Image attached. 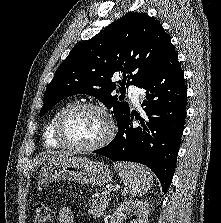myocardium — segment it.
I'll list each match as a JSON object with an SVG mask.
<instances>
[{
  "label": "myocardium",
  "mask_w": 221,
  "mask_h": 223,
  "mask_svg": "<svg viewBox=\"0 0 221 223\" xmlns=\"http://www.w3.org/2000/svg\"><path fill=\"white\" fill-rule=\"evenodd\" d=\"M80 109H91V110L97 111L101 115L104 116L107 122L108 128H107L106 134L99 141H97L96 143L92 145H88V146L75 145L68 142L63 136V123L65 119L70 113L76 110H80ZM115 132H116V126H115L114 120L112 116L110 115V113L105 108L94 103L79 102V103L70 104L61 111L54 127L53 136L55 140L66 149L76 151V152H93L109 144L113 140L115 136Z\"/></svg>",
  "instance_id": "f54148a6"
}]
</instances>
